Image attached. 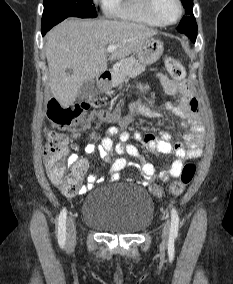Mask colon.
<instances>
[{"instance_id":"1","label":"colon","mask_w":233,"mask_h":284,"mask_svg":"<svg viewBox=\"0 0 233 284\" xmlns=\"http://www.w3.org/2000/svg\"><path fill=\"white\" fill-rule=\"evenodd\" d=\"M165 65L168 73L175 80H182L185 77L183 65L173 57H167ZM105 101L100 96H92L85 101L74 106H62L56 99L48 103L47 116L51 124L57 129L47 134L44 147L45 160L52 169V174L58 189L65 195H74L81 188L83 173L77 169H65L60 164V159L67 145V137L63 131L69 130L76 125L84 112L89 109H96L104 106ZM96 138V134H92ZM196 171L193 163H187L183 166L180 177L170 186V192L175 195H181L185 187L192 181ZM149 191L154 197L162 196V189L157 185L149 187Z\"/></svg>"}]
</instances>
